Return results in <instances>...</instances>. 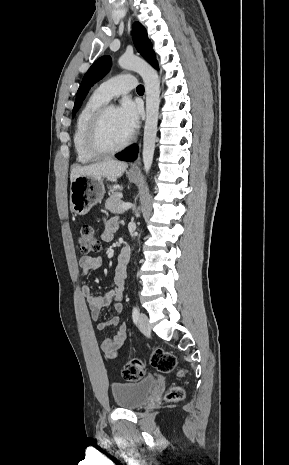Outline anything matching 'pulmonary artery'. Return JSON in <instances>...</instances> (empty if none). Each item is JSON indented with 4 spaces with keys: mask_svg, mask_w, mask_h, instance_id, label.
Masks as SVG:
<instances>
[{
    "mask_svg": "<svg viewBox=\"0 0 289 465\" xmlns=\"http://www.w3.org/2000/svg\"><path fill=\"white\" fill-rule=\"evenodd\" d=\"M137 86L136 78L129 74L118 75L103 82L96 90L100 98L105 101L115 96L126 94Z\"/></svg>",
    "mask_w": 289,
    "mask_h": 465,
    "instance_id": "pulmonary-artery-1",
    "label": "pulmonary artery"
}]
</instances>
